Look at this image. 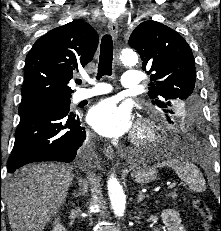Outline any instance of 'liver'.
Instances as JSON below:
<instances>
[{
    "label": "liver",
    "mask_w": 221,
    "mask_h": 231,
    "mask_svg": "<svg viewBox=\"0 0 221 231\" xmlns=\"http://www.w3.org/2000/svg\"><path fill=\"white\" fill-rule=\"evenodd\" d=\"M74 179L72 166L31 164L8 177L4 186L13 231H43L64 204Z\"/></svg>",
    "instance_id": "1"
}]
</instances>
